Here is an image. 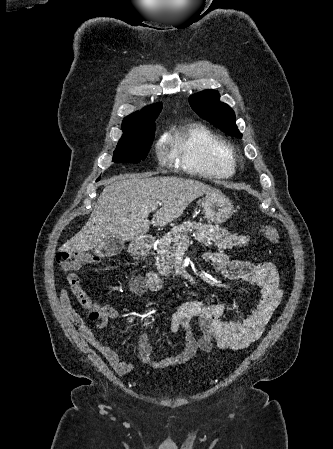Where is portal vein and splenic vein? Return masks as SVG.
I'll use <instances>...</instances> for the list:
<instances>
[{"instance_id":"18ae733b","label":"portal vein and splenic vein","mask_w":333,"mask_h":449,"mask_svg":"<svg viewBox=\"0 0 333 449\" xmlns=\"http://www.w3.org/2000/svg\"><path fill=\"white\" fill-rule=\"evenodd\" d=\"M159 204H160V203H159ZM159 204L156 203V204L151 205L149 210H150V211H151V210H152V211H153V210H156Z\"/></svg>"}]
</instances>
